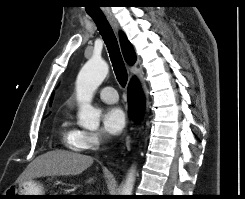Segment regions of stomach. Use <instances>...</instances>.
Here are the masks:
<instances>
[{"mask_svg":"<svg viewBox=\"0 0 245 199\" xmlns=\"http://www.w3.org/2000/svg\"><path fill=\"white\" fill-rule=\"evenodd\" d=\"M14 199H39L40 196H15V195H45L42 187L33 181H24L18 186L8 189ZM6 195V194H5Z\"/></svg>","mask_w":245,"mask_h":199,"instance_id":"1","label":"stomach"}]
</instances>
